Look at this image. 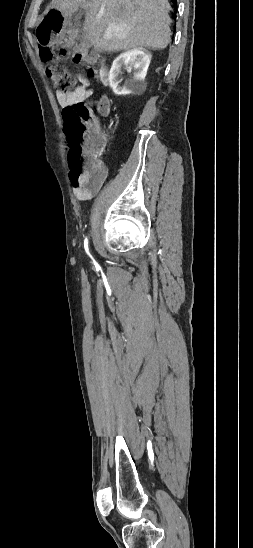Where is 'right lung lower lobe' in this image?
<instances>
[{
	"mask_svg": "<svg viewBox=\"0 0 253 548\" xmlns=\"http://www.w3.org/2000/svg\"><path fill=\"white\" fill-rule=\"evenodd\" d=\"M171 1L173 3L174 7H177V0H171Z\"/></svg>",
	"mask_w": 253,
	"mask_h": 548,
	"instance_id": "98d812e1",
	"label": "right lung lower lobe"
}]
</instances>
